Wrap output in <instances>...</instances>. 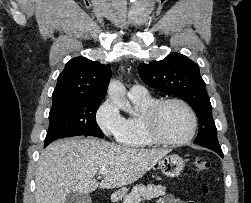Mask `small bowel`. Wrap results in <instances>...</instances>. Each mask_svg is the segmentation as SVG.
<instances>
[{
    "label": "small bowel",
    "instance_id": "1",
    "mask_svg": "<svg viewBox=\"0 0 251 203\" xmlns=\"http://www.w3.org/2000/svg\"><path fill=\"white\" fill-rule=\"evenodd\" d=\"M157 203H186L182 202L179 198L173 196V195H165L161 197ZM188 203H193V202H188Z\"/></svg>",
    "mask_w": 251,
    "mask_h": 203
}]
</instances>
